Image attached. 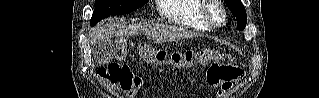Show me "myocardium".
Instances as JSON below:
<instances>
[{"label":"myocardium","mask_w":319,"mask_h":98,"mask_svg":"<svg viewBox=\"0 0 319 98\" xmlns=\"http://www.w3.org/2000/svg\"><path fill=\"white\" fill-rule=\"evenodd\" d=\"M217 10L220 18L217 19L213 15V11ZM201 15L205 22L211 27H219L224 25L226 21V10L219 0H203L201 6Z\"/></svg>","instance_id":"obj_1"}]
</instances>
